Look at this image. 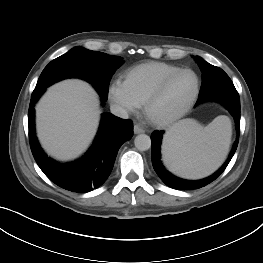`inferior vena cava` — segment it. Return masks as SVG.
Returning a JSON list of instances; mask_svg holds the SVG:
<instances>
[{
  "label": "inferior vena cava",
  "mask_w": 263,
  "mask_h": 263,
  "mask_svg": "<svg viewBox=\"0 0 263 263\" xmlns=\"http://www.w3.org/2000/svg\"><path fill=\"white\" fill-rule=\"evenodd\" d=\"M110 110H111V113L114 114L115 116H118L123 119H128V113L124 108L118 105H111Z\"/></svg>",
  "instance_id": "inferior-vena-cava-1"
}]
</instances>
